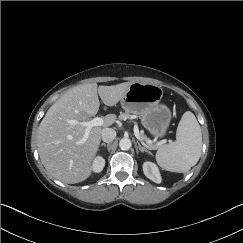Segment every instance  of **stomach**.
<instances>
[{
  "label": "stomach",
  "mask_w": 243,
  "mask_h": 243,
  "mask_svg": "<svg viewBox=\"0 0 243 243\" xmlns=\"http://www.w3.org/2000/svg\"><path fill=\"white\" fill-rule=\"evenodd\" d=\"M163 97L161 86L152 83L133 82L121 99L122 108L136 114L143 127L155 138L163 137L171 121V111L160 104Z\"/></svg>",
  "instance_id": "stomach-1"
}]
</instances>
